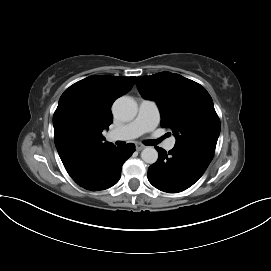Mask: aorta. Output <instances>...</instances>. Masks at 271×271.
Masks as SVG:
<instances>
[{
  "instance_id": "obj_1",
  "label": "aorta",
  "mask_w": 271,
  "mask_h": 271,
  "mask_svg": "<svg viewBox=\"0 0 271 271\" xmlns=\"http://www.w3.org/2000/svg\"><path fill=\"white\" fill-rule=\"evenodd\" d=\"M113 112L122 121H130L135 118L138 112L137 103L131 97L123 96L118 98L113 105ZM141 158L148 164H153L158 159V152L154 147H146L141 152Z\"/></svg>"
}]
</instances>
